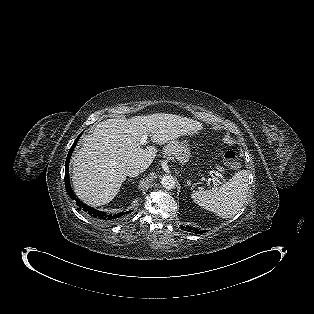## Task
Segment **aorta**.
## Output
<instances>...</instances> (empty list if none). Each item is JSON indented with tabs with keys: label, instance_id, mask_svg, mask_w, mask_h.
I'll use <instances>...</instances> for the list:
<instances>
[{
	"label": "aorta",
	"instance_id": "aorta-1",
	"mask_svg": "<svg viewBox=\"0 0 314 314\" xmlns=\"http://www.w3.org/2000/svg\"><path fill=\"white\" fill-rule=\"evenodd\" d=\"M176 180L172 175H164L161 179L162 186L167 189L171 190L175 187Z\"/></svg>",
	"mask_w": 314,
	"mask_h": 314
}]
</instances>
